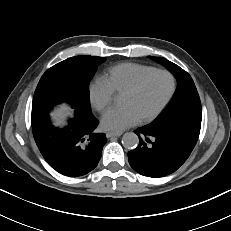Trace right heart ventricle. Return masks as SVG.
Instances as JSON below:
<instances>
[{"instance_id":"right-heart-ventricle-1","label":"right heart ventricle","mask_w":231,"mask_h":231,"mask_svg":"<svg viewBox=\"0 0 231 231\" xmlns=\"http://www.w3.org/2000/svg\"><path fill=\"white\" fill-rule=\"evenodd\" d=\"M156 68L138 63H122L111 67L104 79L117 94H123L140 77Z\"/></svg>"}]
</instances>
